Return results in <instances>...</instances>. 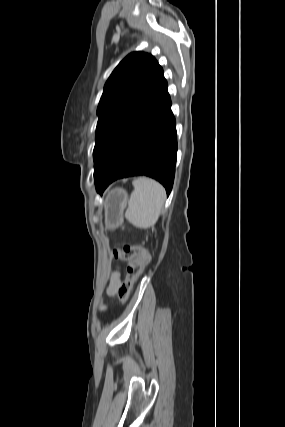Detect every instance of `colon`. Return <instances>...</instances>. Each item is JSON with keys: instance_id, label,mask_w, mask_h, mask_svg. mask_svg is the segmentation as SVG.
Instances as JSON below:
<instances>
[{"instance_id": "obj_1", "label": "colon", "mask_w": 285, "mask_h": 427, "mask_svg": "<svg viewBox=\"0 0 285 427\" xmlns=\"http://www.w3.org/2000/svg\"><path fill=\"white\" fill-rule=\"evenodd\" d=\"M112 253L114 258L127 262L126 277L117 291L119 301L124 304L129 298L134 283L150 262V256L148 251L139 245L116 247Z\"/></svg>"}]
</instances>
